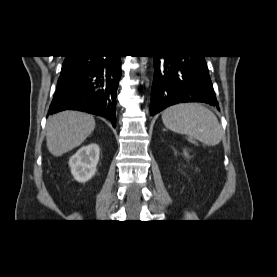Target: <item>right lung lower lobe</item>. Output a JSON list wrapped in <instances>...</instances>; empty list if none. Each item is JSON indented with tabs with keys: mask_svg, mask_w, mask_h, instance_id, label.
<instances>
[{
	"mask_svg": "<svg viewBox=\"0 0 277 277\" xmlns=\"http://www.w3.org/2000/svg\"><path fill=\"white\" fill-rule=\"evenodd\" d=\"M121 56H69L65 59L48 114L79 110L108 118L116 126Z\"/></svg>",
	"mask_w": 277,
	"mask_h": 277,
	"instance_id": "98d812e1",
	"label": "right lung lower lobe"
}]
</instances>
